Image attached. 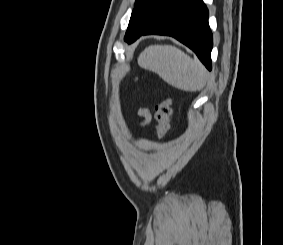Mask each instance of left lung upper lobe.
<instances>
[{
	"mask_svg": "<svg viewBox=\"0 0 283 245\" xmlns=\"http://www.w3.org/2000/svg\"><path fill=\"white\" fill-rule=\"evenodd\" d=\"M174 0H136L124 40L134 39L152 25Z\"/></svg>",
	"mask_w": 283,
	"mask_h": 245,
	"instance_id": "5c2ea615",
	"label": "left lung upper lobe"
}]
</instances>
